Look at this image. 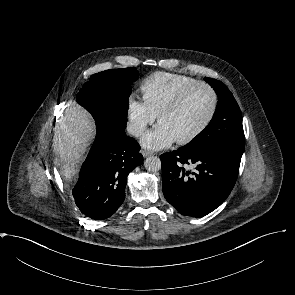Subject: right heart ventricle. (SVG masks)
Masks as SVG:
<instances>
[{
    "mask_svg": "<svg viewBox=\"0 0 295 295\" xmlns=\"http://www.w3.org/2000/svg\"><path fill=\"white\" fill-rule=\"evenodd\" d=\"M196 81L185 75L156 72L143 81L141 89L146 102L159 115L183 89Z\"/></svg>",
    "mask_w": 295,
    "mask_h": 295,
    "instance_id": "e07e8e85",
    "label": "right heart ventricle"
}]
</instances>
